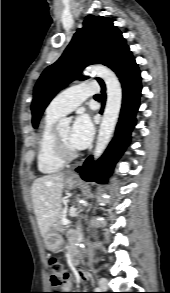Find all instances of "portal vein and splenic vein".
<instances>
[{
	"label": "portal vein and splenic vein",
	"instance_id": "1",
	"mask_svg": "<svg viewBox=\"0 0 170 293\" xmlns=\"http://www.w3.org/2000/svg\"><path fill=\"white\" fill-rule=\"evenodd\" d=\"M70 223H71L70 220H68L67 218L62 219V225H68Z\"/></svg>",
	"mask_w": 170,
	"mask_h": 293
}]
</instances>
